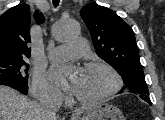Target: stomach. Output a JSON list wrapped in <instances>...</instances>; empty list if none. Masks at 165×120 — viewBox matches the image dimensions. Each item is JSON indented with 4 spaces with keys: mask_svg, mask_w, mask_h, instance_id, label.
<instances>
[{
    "mask_svg": "<svg viewBox=\"0 0 165 120\" xmlns=\"http://www.w3.org/2000/svg\"><path fill=\"white\" fill-rule=\"evenodd\" d=\"M72 120H124V116L116 106L100 103L82 109Z\"/></svg>",
    "mask_w": 165,
    "mask_h": 120,
    "instance_id": "0dacf381",
    "label": "stomach"
}]
</instances>
